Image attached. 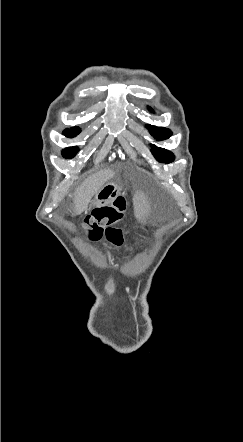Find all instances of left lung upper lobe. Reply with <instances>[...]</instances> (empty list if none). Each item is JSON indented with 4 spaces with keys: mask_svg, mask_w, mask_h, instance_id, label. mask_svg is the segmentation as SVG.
Segmentation results:
<instances>
[{
    "mask_svg": "<svg viewBox=\"0 0 243 442\" xmlns=\"http://www.w3.org/2000/svg\"><path fill=\"white\" fill-rule=\"evenodd\" d=\"M148 129L151 135L157 140H165L172 135V132L166 128H158L156 126L149 125ZM151 152L159 162L171 163L174 160V155L170 151L163 148L154 147Z\"/></svg>",
    "mask_w": 243,
    "mask_h": 442,
    "instance_id": "left-lung-upper-lobe-1",
    "label": "left lung upper lobe"
}]
</instances>
